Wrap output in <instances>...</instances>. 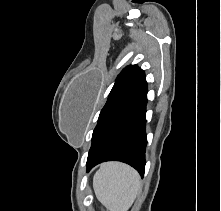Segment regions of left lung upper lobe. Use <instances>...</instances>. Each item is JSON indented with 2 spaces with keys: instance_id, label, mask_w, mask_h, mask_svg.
<instances>
[{
  "instance_id": "1",
  "label": "left lung upper lobe",
  "mask_w": 221,
  "mask_h": 211,
  "mask_svg": "<svg viewBox=\"0 0 221 211\" xmlns=\"http://www.w3.org/2000/svg\"><path fill=\"white\" fill-rule=\"evenodd\" d=\"M146 83L144 71L137 65H130L123 69L118 75L107 102L100 112L98 123L92 135V145L111 120L137 97Z\"/></svg>"
}]
</instances>
